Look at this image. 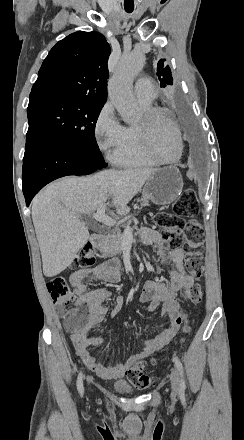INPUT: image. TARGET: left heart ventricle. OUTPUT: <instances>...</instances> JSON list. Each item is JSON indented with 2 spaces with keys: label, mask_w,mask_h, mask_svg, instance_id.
Segmentation results:
<instances>
[{
  "label": "left heart ventricle",
  "mask_w": 244,
  "mask_h": 440,
  "mask_svg": "<svg viewBox=\"0 0 244 440\" xmlns=\"http://www.w3.org/2000/svg\"><path fill=\"white\" fill-rule=\"evenodd\" d=\"M162 120L163 119H159L157 124H152L148 127L154 130L149 136V139L155 151H159L163 159H172L176 155L177 134L169 127V123ZM140 121L141 118L137 123Z\"/></svg>",
  "instance_id": "obj_1"
}]
</instances>
